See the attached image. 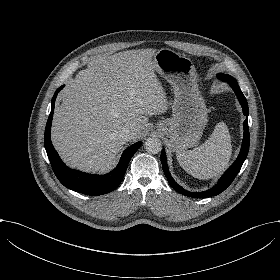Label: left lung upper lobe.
<instances>
[{
    "mask_svg": "<svg viewBox=\"0 0 280 280\" xmlns=\"http://www.w3.org/2000/svg\"><path fill=\"white\" fill-rule=\"evenodd\" d=\"M223 76H225V75L219 74V75H218V78L221 79Z\"/></svg>",
    "mask_w": 280,
    "mask_h": 280,
    "instance_id": "5c2ea615",
    "label": "left lung upper lobe"
}]
</instances>
